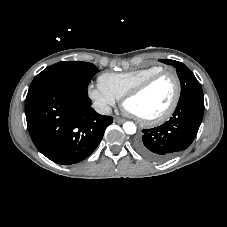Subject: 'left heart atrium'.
<instances>
[{"label": "left heart atrium", "mask_w": 227, "mask_h": 227, "mask_svg": "<svg viewBox=\"0 0 227 227\" xmlns=\"http://www.w3.org/2000/svg\"><path fill=\"white\" fill-rule=\"evenodd\" d=\"M125 110L132 114V112L127 107H125Z\"/></svg>", "instance_id": "left-heart-atrium-1"}]
</instances>
